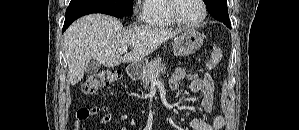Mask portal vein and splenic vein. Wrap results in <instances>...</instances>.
<instances>
[{"mask_svg":"<svg viewBox=\"0 0 299 130\" xmlns=\"http://www.w3.org/2000/svg\"><path fill=\"white\" fill-rule=\"evenodd\" d=\"M128 47L127 46H123L119 49L120 52H127ZM158 77H152V81L156 82Z\"/></svg>","mask_w":299,"mask_h":130,"instance_id":"1","label":"portal vein and splenic vein"}]
</instances>
